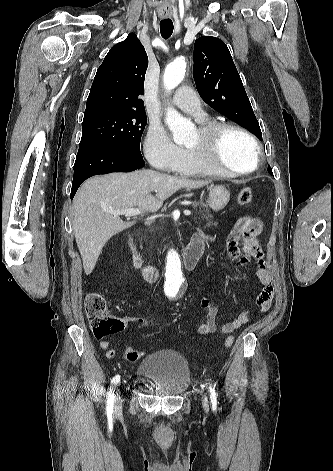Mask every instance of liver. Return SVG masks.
I'll return each mask as SVG.
<instances>
[{"label":"liver","mask_w":333,"mask_h":471,"mask_svg":"<svg viewBox=\"0 0 333 471\" xmlns=\"http://www.w3.org/2000/svg\"><path fill=\"white\" fill-rule=\"evenodd\" d=\"M208 181L191 180L150 169L110 173L86 180L74 198L73 230L84 271L91 274L102 248L115 234L133 226L112 211L139 207L155 212L181 188L196 189ZM155 191L156 195H151Z\"/></svg>","instance_id":"liver-1"}]
</instances>
